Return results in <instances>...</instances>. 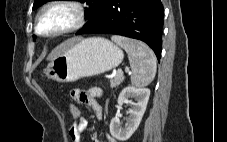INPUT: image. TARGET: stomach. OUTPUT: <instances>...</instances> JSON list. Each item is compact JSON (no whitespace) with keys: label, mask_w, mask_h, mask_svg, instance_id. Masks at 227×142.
<instances>
[{"label":"stomach","mask_w":227,"mask_h":142,"mask_svg":"<svg viewBox=\"0 0 227 142\" xmlns=\"http://www.w3.org/2000/svg\"><path fill=\"white\" fill-rule=\"evenodd\" d=\"M123 51L101 37H91L71 44L47 66L45 74L57 82H74L107 72L123 60Z\"/></svg>","instance_id":"obj_1"}]
</instances>
